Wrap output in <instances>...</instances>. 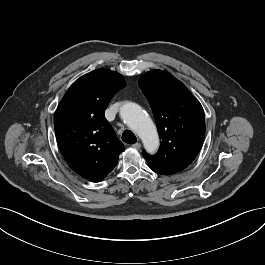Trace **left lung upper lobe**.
<instances>
[{
    "label": "left lung upper lobe",
    "instance_id": "obj_1",
    "mask_svg": "<svg viewBox=\"0 0 265 265\" xmlns=\"http://www.w3.org/2000/svg\"><path fill=\"white\" fill-rule=\"evenodd\" d=\"M139 86L150 103L161 138L156 155L145 150L142 155L154 172L178 173L201 149L205 135L203 108L186 86L166 71L144 74Z\"/></svg>",
    "mask_w": 265,
    "mask_h": 265
}]
</instances>
